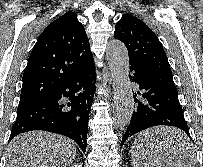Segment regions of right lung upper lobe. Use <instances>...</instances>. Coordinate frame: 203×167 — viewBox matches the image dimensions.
<instances>
[{
    "label": "right lung upper lobe",
    "mask_w": 203,
    "mask_h": 167,
    "mask_svg": "<svg viewBox=\"0 0 203 167\" xmlns=\"http://www.w3.org/2000/svg\"><path fill=\"white\" fill-rule=\"evenodd\" d=\"M93 62L88 37L70 11L39 36L23 74L19 105L45 99L68 77Z\"/></svg>",
    "instance_id": "right-lung-upper-lobe-1"
}]
</instances>
